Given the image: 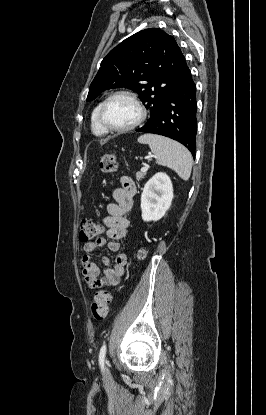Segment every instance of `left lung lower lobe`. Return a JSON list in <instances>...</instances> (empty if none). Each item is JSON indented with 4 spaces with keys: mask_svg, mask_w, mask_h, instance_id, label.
<instances>
[{
    "mask_svg": "<svg viewBox=\"0 0 266 415\" xmlns=\"http://www.w3.org/2000/svg\"><path fill=\"white\" fill-rule=\"evenodd\" d=\"M196 114V85L191 71L187 67L182 81L169 96L157 117L136 131L159 134L174 139L187 147L195 157Z\"/></svg>",
    "mask_w": 266,
    "mask_h": 415,
    "instance_id": "1",
    "label": "left lung lower lobe"
}]
</instances>
